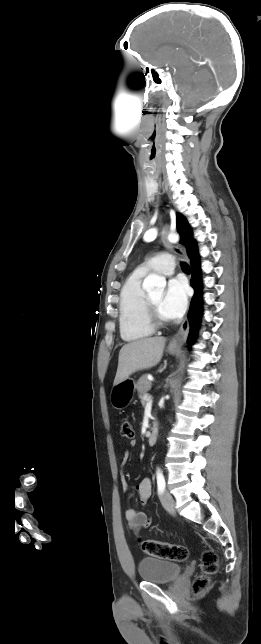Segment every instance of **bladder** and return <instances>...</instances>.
<instances>
[{
	"instance_id": "obj_1",
	"label": "bladder",
	"mask_w": 261,
	"mask_h": 644,
	"mask_svg": "<svg viewBox=\"0 0 261 644\" xmlns=\"http://www.w3.org/2000/svg\"><path fill=\"white\" fill-rule=\"evenodd\" d=\"M181 572L180 564L159 558L147 557L138 563L139 577L146 582L170 583L177 579Z\"/></svg>"
}]
</instances>
